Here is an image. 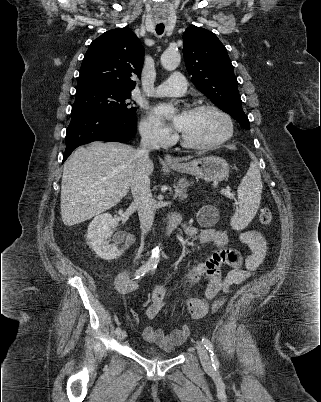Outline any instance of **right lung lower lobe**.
<instances>
[{
  "label": "right lung lower lobe",
  "instance_id": "98d812e1",
  "mask_svg": "<svg viewBox=\"0 0 321 402\" xmlns=\"http://www.w3.org/2000/svg\"><path fill=\"white\" fill-rule=\"evenodd\" d=\"M136 129V116L121 117L92 113L73 115L66 131L63 162L80 145L97 140L127 142L135 136Z\"/></svg>",
  "mask_w": 321,
  "mask_h": 402
}]
</instances>
